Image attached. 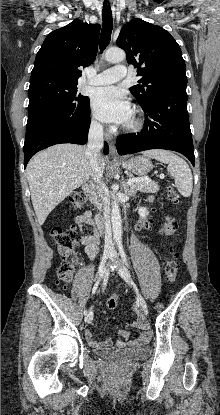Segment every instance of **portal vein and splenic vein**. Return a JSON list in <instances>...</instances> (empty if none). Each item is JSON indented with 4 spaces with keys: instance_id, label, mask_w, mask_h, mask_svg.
I'll use <instances>...</instances> for the list:
<instances>
[{
    "instance_id": "18ae733b",
    "label": "portal vein and splenic vein",
    "mask_w": 220,
    "mask_h": 415,
    "mask_svg": "<svg viewBox=\"0 0 220 415\" xmlns=\"http://www.w3.org/2000/svg\"><path fill=\"white\" fill-rule=\"evenodd\" d=\"M160 178H164V174H160ZM149 180H151L149 177L131 178L128 180L127 184L133 185L134 183H137V182L149 181Z\"/></svg>"
}]
</instances>
